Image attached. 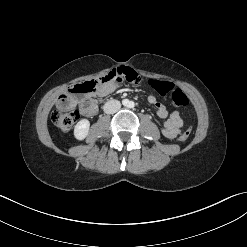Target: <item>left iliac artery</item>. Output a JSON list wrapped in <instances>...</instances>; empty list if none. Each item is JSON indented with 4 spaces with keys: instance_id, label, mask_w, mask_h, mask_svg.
Masks as SVG:
<instances>
[{
    "instance_id": "1",
    "label": "left iliac artery",
    "mask_w": 247,
    "mask_h": 247,
    "mask_svg": "<svg viewBox=\"0 0 247 247\" xmlns=\"http://www.w3.org/2000/svg\"><path fill=\"white\" fill-rule=\"evenodd\" d=\"M129 106H130V107H134V103L131 102V103L129 104Z\"/></svg>"
}]
</instances>
